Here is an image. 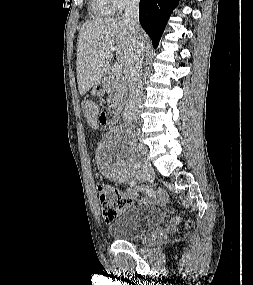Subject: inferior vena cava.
Returning <instances> with one entry per match:
<instances>
[{"instance_id":"obj_1","label":"inferior vena cava","mask_w":253,"mask_h":285,"mask_svg":"<svg viewBox=\"0 0 253 285\" xmlns=\"http://www.w3.org/2000/svg\"><path fill=\"white\" fill-rule=\"evenodd\" d=\"M139 0H127L125 12L122 16L128 22L134 32L132 52L127 59L124 67L125 79L129 88V96L125 106V115L130 120H137L142 103V85L140 69L142 67L144 44L138 34L140 27L139 19Z\"/></svg>"}]
</instances>
